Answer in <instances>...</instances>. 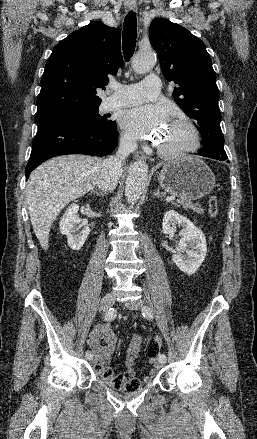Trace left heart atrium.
<instances>
[{
  "label": "left heart atrium",
  "instance_id": "obj_1",
  "mask_svg": "<svg viewBox=\"0 0 257 439\" xmlns=\"http://www.w3.org/2000/svg\"><path fill=\"white\" fill-rule=\"evenodd\" d=\"M167 110L160 105H142L122 112L121 126L136 138L156 136L166 125Z\"/></svg>",
  "mask_w": 257,
  "mask_h": 439
}]
</instances>
